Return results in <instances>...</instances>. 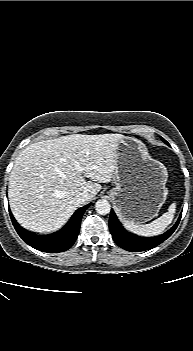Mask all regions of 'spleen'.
I'll list each match as a JSON object with an SVG mask.
<instances>
[{"label": "spleen", "instance_id": "spleen-1", "mask_svg": "<svg viewBox=\"0 0 193 351\" xmlns=\"http://www.w3.org/2000/svg\"><path fill=\"white\" fill-rule=\"evenodd\" d=\"M176 210V204L172 203L168 211L148 224H137L132 221H124V226L129 231L141 236H154L162 233L172 222Z\"/></svg>", "mask_w": 193, "mask_h": 351}]
</instances>
